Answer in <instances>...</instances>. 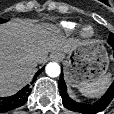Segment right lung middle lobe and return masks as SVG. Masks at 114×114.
Returning <instances> with one entry per match:
<instances>
[{
    "instance_id": "1",
    "label": "right lung middle lobe",
    "mask_w": 114,
    "mask_h": 114,
    "mask_svg": "<svg viewBox=\"0 0 114 114\" xmlns=\"http://www.w3.org/2000/svg\"><path fill=\"white\" fill-rule=\"evenodd\" d=\"M6 20L0 18V23H4Z\"/></svg>"
}]
</instances>
